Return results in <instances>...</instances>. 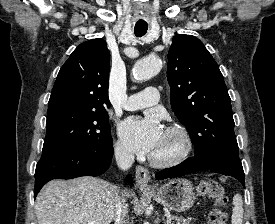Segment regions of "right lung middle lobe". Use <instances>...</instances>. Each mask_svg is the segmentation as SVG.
<instances>
[{
	"label": "right lung middle lobe",
	"mask_w": 275,
	"mask_h": 224,
	"mask_svg": "<svg viewBox=\"0 0 275 224\" xmlns=\"http://www.w3.org/2000/svg\"><path fill=\"white\" fill-rule=\"evenodd\" d=\"M106 111L61 110L47 115L43 150L98 146L110 141Z\"/></svg>",
	"instance_id": "dd1d6c3e"
}]
</instances>
